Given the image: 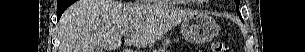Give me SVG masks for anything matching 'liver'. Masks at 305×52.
I'll list each match as a JSON object with an SVG mask.
<instances>
[{"instance_id":"liver-1","label":"liver","mask_w":305,"mask_h":52,"mask_svg":"<svg viewBox=\"0 0 305 52\" xmlns=\"http://www.w3.org/2000/svg\"><path fill=\"white\" fill-rule=\"evenodd\" d=\"M189 10L165 2L155 5L124 4L115 0H78L59 22V52H102L125 45H148L162 38Z\"/></svg>"}]
</instances>
